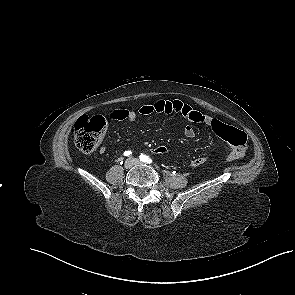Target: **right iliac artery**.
Returning <instances> with one entry per match:
<instances>
[{
  "label": "right iliac artery",
  "mask_w": 295,
  "mask_h": 295,
  "mask_svg": "<svg viewBox=\"0 0 295 295\" xmlns=\"http://www.w3.org/2000/svg\"><path fill=\"white\" fill-rule=\"evenodd\" d=\"M131 154H132V152L129 150L124 152V156H130Z\"/></svg>",
  "instance_id": "82829eb1"
}]
</instances>
